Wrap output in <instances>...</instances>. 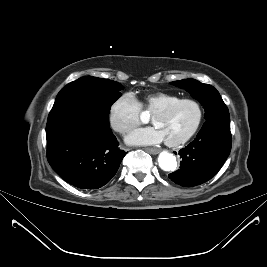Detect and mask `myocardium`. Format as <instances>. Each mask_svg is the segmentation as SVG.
I'll list each match as a JSON object with an SVG mask.
<instances>
[{"instance_id":"myocardium-1","label":"myocardium","mask_w":267,"mask_h":267,"mask_svg":"<svg viewBox=\"0 0 267 267\" xmlns=\"http://www.w3.org/2000/svg\"><path fill=\"white\" fill-rule=\"evenodd\" d=\"M183 103H191L193 104L196 109H197V118L196 121L194 123V125L192 126V128L188 131V133H186L183 137L177 139V140H165V143L168 146H172V147H176V146H180L184 143H186L187 141H189L194 135L195 133L198 131L202 120H203V107L201 105V103L193 98H180L174 102H171L157 110H155L153 112V116H157V115H163V114H167L170 111H172L174 108H176L177 106L183 104Z\"/></svg>"}]
</instances>
